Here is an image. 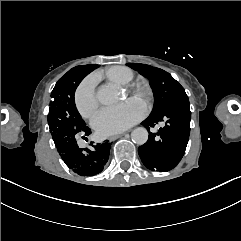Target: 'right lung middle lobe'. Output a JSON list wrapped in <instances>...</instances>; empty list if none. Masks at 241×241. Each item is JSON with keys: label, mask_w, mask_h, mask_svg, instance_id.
I'll return each instance as SVG.
<instances>
[{"label": "right lung middle lobe", "mask_w": 241, "mask_h": 241, "mask_svg": "<svg viewBox=\"0 0 241 241\" xmlns=\"http://www.w3.org/2000/svg\"><path fill=\"white\" fill-rule=\"evenodd\" d=\"M92 70L99 65L89 64ZM83 66H76L69 70L56 83L51 93L49 104L48 125L53 141L56 146L60 145L66 138L75 139L83 134L86 123L79 114L74 94L80 83L81 70Z\"/></svg>", "instance_id": "obj_1"}]
</instances>
